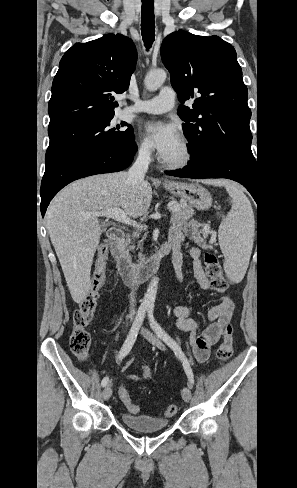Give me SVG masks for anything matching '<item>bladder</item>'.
<instances>
[{
  "label": "bladder",
  "mask_w": 297,
  "mask_h": 488,
  "mask_svg": "<svg viewBox=\"0 0 297 488\" xmlns=\"http://www.w3.org/2000/svg\"><path fill=\"white\" fill-rule=\"evenodd\" d=\"M121 421L132 430L139 432H157L168 426V420L148 415L121 414Z\"/></svg>",
  "instance_id": "bladder-1"
}]
</instances>
